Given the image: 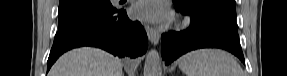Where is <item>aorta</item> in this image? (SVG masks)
<instances>
[{
  "instance_id": "obj_1",
  "label": "aorta",
  "mask_w": 287,
  "mask_h": 76,
  "mask_svg": "<svg viewBox=\"0 0 287 76\" xmlns=\"http://www.w3.org/2000/svg\"><path fill=\"white\" fill-rule=\"evenodd\" d=\"M144 76H162L161 57L157 50L151 49L146 56Z\"/></svg>"
}]
</instances>
